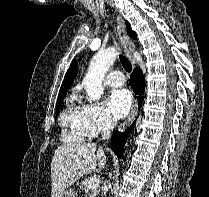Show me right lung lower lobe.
Masks as SVG:
<instances>
[{
  "instance_id": "right-lung-lower-lobe-1",
  "label": "right lung lower lobe",
  "mask_w": 209,
  "mask_h": 197,
  "mask_svg": "<svg viewBox=\"0 0 209 197\" xmlns=\"http://www.w3.org/2000/svg\"><path fill=\"white\" fill-rule=\"evenodd\" d=\"M130 85L134 89L135 94L141 95L144 92L145 81H144L142 71L139 70L138 68H136L134 72L132 73V76L130 78ZM142 100H143V97H140L139 107L142 104ZM133 126H134V123L124 133H120L118 131H115L113 133V136L111 138V149L118 157L123 156L122 147L124 146L125 140L128 134L131 132V129L133 128Z\"/></svg>"
}]
</instances>
